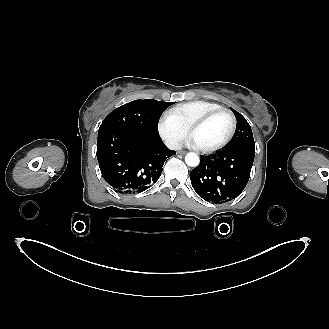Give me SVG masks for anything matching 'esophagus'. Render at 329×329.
Here are the masks:
<instances>
[{
	"mask_svg": "<svg viewBox=\"0 0 329 329\" xmlns=\"http://www.w3.org/2000/svg\"><path fill=\"white\" fill-rule=\"evenodd\" d=\"M178 153L181 155H185L187 152L183 150V151H179Z\"/></svg>",
	"mask_w": 329,
	"mask_h": 329,
	"instance_id": "34e87169",
	"label": "esophagus"
}]
</instances>
